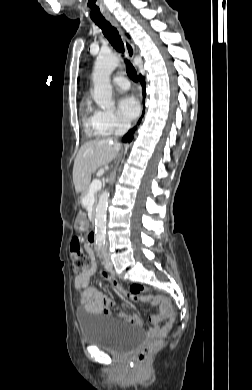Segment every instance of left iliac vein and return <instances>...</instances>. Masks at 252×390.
<instances>
[{
	"mask_svg": "<svg viewBox=\"0 0 252 390\" xmlns=\"http://www.w3.org/2000/svg\"><path fill=\"white\" fill-rule=\"evenodd\" d=\"M103 255H104V266H105L106 270L111 271L113 268V264H112L109 256L105 253V251H103Z\"/></svg>",
	"mask_w": 252,
	"mask_h": 390,
	"instance_id": "4c4485c4",
	"label": "left iliac vein"
}]
</instances>
